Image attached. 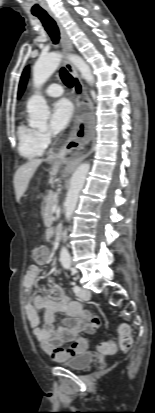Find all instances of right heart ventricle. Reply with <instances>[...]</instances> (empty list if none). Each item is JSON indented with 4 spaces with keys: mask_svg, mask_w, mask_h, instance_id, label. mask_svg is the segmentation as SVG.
I'll list each match as a JSON object with an SVG mask.
<instances>
[{
    "mask_svg": "<svg viewBox=\"0 0 155 413\" xmlns=\"http://www.w3.org/2000/svg\"><path fill=\"white\" fill-rule=\"evenodd\" d=\"M19 154L28 160L39 158L44 153L38 137V130L22 121L17 128Z\"/></svg>",
    "mask_w": 155,
    "mask_h": 413,
    "instance_id": "right-heart-ventricle-1",
    "label": "right heart ventricle"
}]
</instances>
